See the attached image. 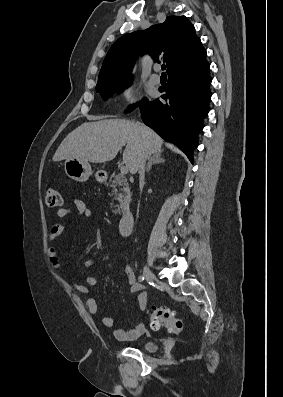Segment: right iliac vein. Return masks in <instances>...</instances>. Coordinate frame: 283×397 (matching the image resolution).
I'll return each instance as SVG.
<instances>
[{"label": "right iliac vein", "instance_id": "obj_1", "mask_svg": "<svg viewBox=\"0 0 283 397\" xmlns=\"http://www.w3.org/2000/svg\"><path fill=\"white\" fill-rule=\"evenodd\" d=\"M143 274L146 278L147 281H151L153 279V274L152 271L150 270V268L148 267V265L144 266V271Z\"/></svg>", "mask_w": 283, "mask_h": 397}]
</instances>
